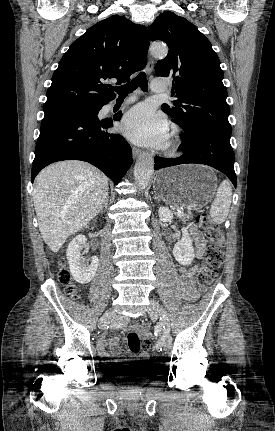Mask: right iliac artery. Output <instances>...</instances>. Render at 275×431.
<instances>
[{"label":"right iliac artery","instance_id":"obj_1","mask_svg":"<svg viewBox=\"0 0 275 431\" xmlns=\"http://www.w3.org/2000/svg\"><path fill=\"white\" fill-rule=\"evenodd\" d=\"M126 323H127V321H120V322H117V323L113 324L112 327H114L116 329L117 328H121V327L125 326Z\"/></svg>","mask_w":275,"mask_h":431}]
</instances>
